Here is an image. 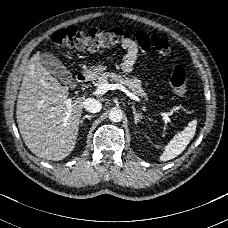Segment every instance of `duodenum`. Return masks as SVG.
Segmentation results:
<instances>
[{
  "mask_svg": "<svg viewBox=\"0 0 228 228\" xmlns=\"http://www.w3.org/2000/svg\"><path fill=\"white\" fill-rule=\"evenodd\" d=\"M90 74L88 72H79L76 75L75 81L77 84H84L89 80Z\"/></svg>",
  "mask_w": 228,
  "mask_h": 228,
  "instance_id": "410a0bca",
  "label": "duodenum"
}]
</instances>
